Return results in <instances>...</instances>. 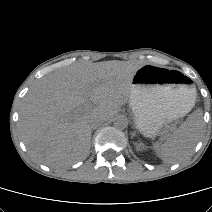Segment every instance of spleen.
I'll list each match as a JSON object with an SVG mask.
<instances>
[{
    "instance_id": "obj_1",
    "label": "spleen",
    "mask_w": 212,
    "mask_h": 212,
    "mask_svg": "<svg viewBox=\"0 0 212 212\" xmlns=\"http://www.w3.org/2000/svg\"><path fill=\"white\" fill-rule=\"evenodd\" d=\"M200 117L188 118L185 123L163 144H155V153L168 164L187 158L193 151L202 133Z\"/></svg>"
}]
</instances>
